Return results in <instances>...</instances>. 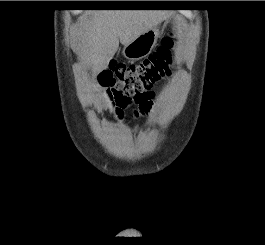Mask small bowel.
<instances>
[{"label":"small bowel","mask_w":265,"mask_h":245,"mask_svg":"<svg viewBox=\"0 0 265 245\" xmlns=\"http://www.w3.org/2000/svg\"><path fill=\"white\" fill-rule=\"evenodd\" d=\"M154 111H155V107H154V105H153V103L151 101L149 106H148V108L146 109V112H147L149 117H153Z\"/></svg>","instance_id":"c3829d8e"}]
</instances>
